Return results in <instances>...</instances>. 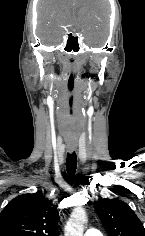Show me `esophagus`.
I'll use <instances>...</instances> for the list:
<instances>
[{
    "mask_svg": "<svg viewBox=\"0 0 145 236\" xmlns=\"http://www.w3.org/2000/svg\"><path fill=\"white\" fill-rule=\"evenodd\" d=\"M75 149H76V144L75 143H68L67 144L68 152L72 153Z\"/></svg>",
    "mask_w": 145,
    "mask_h": 236,
    "instance_id": "esophagus-1",
    "label": "esophagus"
}]
</instances>
